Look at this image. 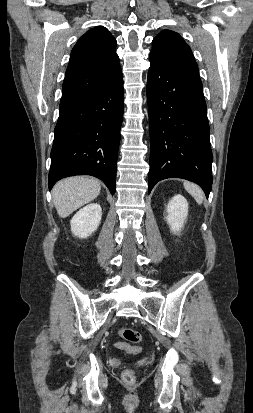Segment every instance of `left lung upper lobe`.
<instances>
[{"label": "left lung upper lobe", "mask_w": 253, "mask_h": 413, "mask_svg": "<svg viewBox=\"0 0 253 413\" xmlns=\"http://www.w3.org/2000/svg\"><path fill=\"white\" fill-rule=\"evenodd\" d=\"M150 54L157 56L177 73L202 85L193 53L178 33L161 31L153 40Z\"/></svg>", "instance_id": "obj_1"}]
</instances>
